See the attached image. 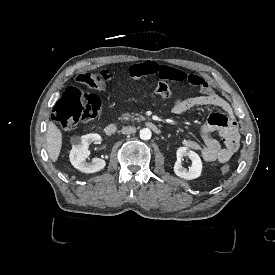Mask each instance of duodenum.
Wrapping results in <instances>:
<instances>
[{
  "label": "duodenum",
  "instance_id": "obj_1",
  "mask_svg": "<svg viewBox=\"0 0 275 275\" xmlns=\"http://www.w3.org/2000/svg\"><path fill=\"white\" fill-rule=\"evenodd\" d=\"M147 126L155 134H161V132H162L161 128L152 122H148ZM104 131H105L106 135L112 136V135L116 134L117 126L113 123H110V124L106 125Z\"/></svg>",
  "mask_w": 275,
  "mask_h": 275
}]
</instances>
